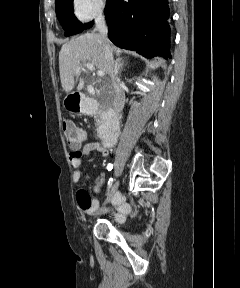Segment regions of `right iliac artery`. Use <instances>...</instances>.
<instances>
[{
    "label": "right iliac artery",
    "mask_w": 240,
    "mask_h": 288,
    "mask_svg": "<svg viewBox=\"0 0 240 288\" xmlns=\"http://www.w3.org/2000/svg\"><path fill=\"white\" fill-rule=\"evenodd\" d=\"M112 168H113V165L112 164H108L107 169L111 170ZM112 184H113V178H110L109 181H108V190L111 188Z\"/></svg>",
    "instance_id": "right-iliac-artery-1"
}]
</instances>
